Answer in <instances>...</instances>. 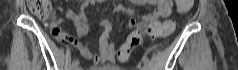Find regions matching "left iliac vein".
Masks as SVG:
<instances>
[{"label":"left iliac vein","mask_w":238,"mask_h":70,"mask_svg":"<svg viewBox=\"0 0 238 70\" xmlns=\"http://www.w3.org/2000/svg\"><path fill=\"white\" fill-rule=\"evenodd\" d=\"M140 68H141V70H147L148 69L146 64H143Z\"/></svg>","instance_id":"obj_1"}]
</instances>
